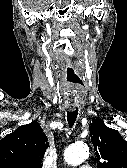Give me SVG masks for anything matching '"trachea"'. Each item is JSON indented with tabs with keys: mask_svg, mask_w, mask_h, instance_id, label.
<instances>
[{
	"mask_svg": "<svg viewBox=\"0 0 127 168\" xmlns=\"http://www.w3.org/2000/svg\"><path fill=\"white\" fill-rule=\"evenodd\" d=\"M77 115H78V109H73V110H70V111H67V121H68V126L70 128L73 127L75 121H76V118H77Z\"/></svg>",
	"mask_w": 127,
	"mask_h": 168,
	"instance_id": "trachea-1",
	"label": "trachea"
}]
</instances>
